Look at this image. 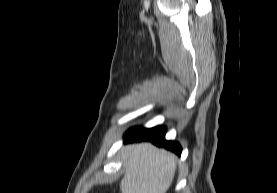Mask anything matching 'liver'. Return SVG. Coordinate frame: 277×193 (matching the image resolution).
<instances>
[{
	"label": "liver",
	"mask_w": 277,
	"mask_h": 193,
	"mask_svg": "<svg viewBox=\"0 0 277 193\" xmlns=\"http://www.w3.org/2000/svg\"><path fill=\"white\" fill-rule=\"evenodd\" d=\"M176 163L173 153L149 142L130 145L121 193H166L174 179Z\"/></svg>",
	"instance_id": "6515ba94"
}]
</instances>
